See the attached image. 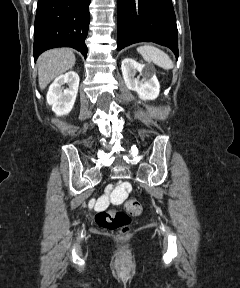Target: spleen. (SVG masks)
<instances>
[{
    "label": "spleen",
    "mask_w": 240,
    "mask_h": 288,
    "mask_svg": "<svg viewBox=\"0 0 240 288\" xmlns=\"http://www.w3.org/2000/svg\"><path fill=\"white\" fill-rule=\"evenodd\" d=\"M137 51L147 62H153L165 70L173 68V62L171 61L170 57L157 47L152 45H143L138 47Z\"/></svg>",
    "instance_id": "3e777b00"
}]
</instances>
